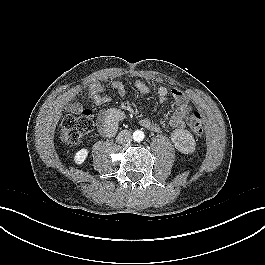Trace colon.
Here are the masks:
<instances>
[{"instance_id":"5ec220e1","label":"colon","mask_w":265,"mask_h":265,"mask_svg":"<svg viewBox=\"0 0 265 265\" xmlns=\"http://www.w3.org/2000/svg\"><path fill=\"white\" fill-rule=\"evenodd\" d=\"M93 126L94 118L89 110H83L79 115H67L60 125V139L66 144H78ZM188 126L195 135L203 134V117L199 111L194 110L190 113Z\"/></svg>"}]
</instances>
